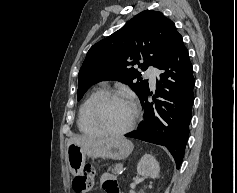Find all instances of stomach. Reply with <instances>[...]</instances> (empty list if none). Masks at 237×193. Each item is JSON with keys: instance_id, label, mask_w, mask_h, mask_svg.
Segmentation results:
<instances>
[{"instance_id": "stomach-1", "label": "stomach", "mask_w": 237, "mask_h": 193, "mask_svg": "<svg viewBox=\"0 0 237 193\" xmlns=\"http://www.w3.org/2000/svg\"><path fill=\"white\" fill-rule=\"evenodd\" d=\"M133 151V144L124 137L111 138L101 145L81 146L70 144L67 147V160L71 173L76 176L83 171L86 156L122 160Z\"/></svg>"}]
</instances>
